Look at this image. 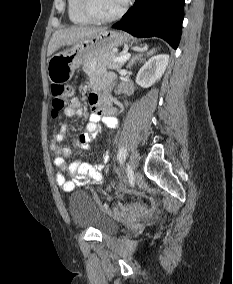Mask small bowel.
I'll return each mask as SVG.
<instances>
[{"instance_id": "c3829d8e", "label": "small bowel", "mask_w": 233, "mask_h": 284, "mask_svg": "<svg viewBox=\"0 0 233 284\" xmlns=\"http://www.w3.org/2000/svg\"><path fill=\"white\" fill-rule=\"evenodd\" d=\"M112 82L111 76L93 79L91 87L94 90L89 94L88 100L92 107L89 121L86 126L85 133L81 134L77 140L78 145L86 146L97 135L99 131V123H104L108 127L116 128L118 121L114 117V110L111 108L105 90ZM67 117L82 116L83 108L77 98L70 99L68 106L64 111ZM68 126L63 124L59 132L54 135L50 150L54 154V165L58 168L56 174L57 184L66 192L72 191L76 186L89 184H102L104 181L103 168L108 161L109 152L103 154L102 164L92 165L88 162L77 160L67 166L66 157L70 154L69 147H63L59 143L66 137ZM67 172L72 175V180L66 178Z\"/></svg>"}]
</instances>
